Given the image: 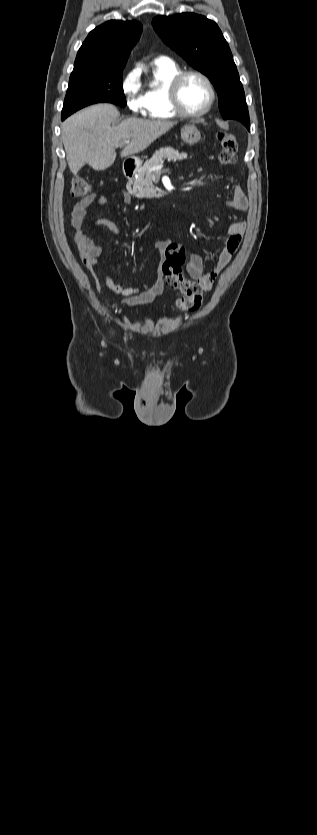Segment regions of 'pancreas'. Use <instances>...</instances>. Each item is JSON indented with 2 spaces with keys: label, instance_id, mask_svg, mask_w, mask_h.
I'll use <instances>...</instances> for the list:
<instances>
[{
  "label": "pancreas",
  "instance_id": "1",
  "mask_svg": "<svg viewBox=\"0 0 317 835\" xmlns=\"http://www.w3.org/2000/svg\"><path fill=\"white\" fill-rule=\"evenodd\" d=\"M187 157L188 155L186 153H179L178 150H175L172 147L161 148L139 168L136 178L133 181H129L127 185L128 193L138 198H159L161 196V192L159 191L157 193L153 190L152 183V178L157 176L159 171H149V168L163 163L164 160H167L168 162H176L186 159ZM131 185H133V188Z\"/></svg>",
  "mask_w": 317,
  "mask_h": 835
}]
</instances>
